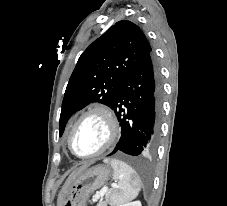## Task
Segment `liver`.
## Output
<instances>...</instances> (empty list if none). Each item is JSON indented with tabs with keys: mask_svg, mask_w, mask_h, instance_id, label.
I'll return each instance as SVG.
<instances>
[{
	"mask_svg": "<svg viewBox=\"0 0 227 206\" xmlns=\"http://www.w3.org/2000/svg\"><path fill=\"white\" fill-rule=\"evenodd\" d=\"M89 167V164H85L81 166L80 168L74 170L70 176L68 177L67 181L65 182L64 186L61 189V192L59 194V198H61L63 193H66L71 185L74 183V181L77 179V177L83 173L87 168Z\"/></svg>",
	"mask_w": 227,
	"mask_h": 206,
	"instance_id": "6515ba94",
	"label": "liver"
}]
</instances>
